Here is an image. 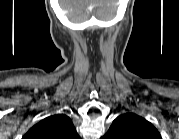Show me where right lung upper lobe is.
<instances>
[{"label": "right lung upper lobe", "instance_id": "obj_1", "mask_svg": "<svg viewBox=\"0 0 179 139\" xmlns=\"http://www.w3.org/2000/svg\"><path fill=\"white\" fill-rule=\"evenodd\" d=\"M25 139H79L71 119L64 114L49 116L34 125Z\"/></svg>", "mask_w": 179, "mask_h": 139}]
</instances>
